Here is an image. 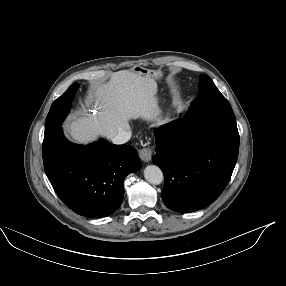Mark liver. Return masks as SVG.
<instances>
[{
  "label": "liver",
  "instance_id": "obj_1",
  "mask_svg": "<svg viewBox=\"0 0 286 286\" xmlns=\"http://www.w3.org/2000/svg\"><path fill=\"white\" fill-rule=\"evenodd\" d=\"M156 93L157 83L152 76L134 70L113 73L108 83L95 86L89 96L97 113L75 117L66 125L70 137L85 144L98 136L112 138L120 129L129 128L130 119L137 118L162 124Z\"/></svg>",
  "mask_w": 286,
  "mask_h": 286
}]
</instances>
